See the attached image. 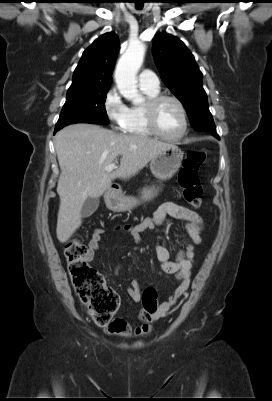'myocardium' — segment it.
<instances>
[{
    "label": "myocardium",
    "mask_w": 272,
    "mask_h": 401,
    "mask_svg": "<svg viewBox=\"0 0 272 401\" xmlns=\"http://www.w3.org/2000/svg\"><path fill=\"white\" fill-rule=\"evenodd\" d=\"M165 101L175 102L181 110L184 126H183L182 132L177 136H168V135L164 134L161 131V129L159 128L158 121H157V114H158L159 107ZM145 117H146V122H147V125H148L150 131L154 135H156L166 141L175 142V141L181 140L182 138H184L186 136L188 129H189V119H188L187 110H186L183 102L179 98L172 96V95L159 94V95L149 99L145 106Z\"/></svg>",
    "instance_id": "myocardium-1"
}]
</instances>
